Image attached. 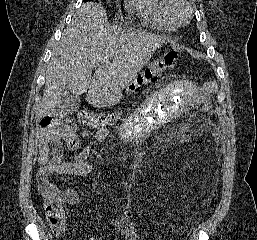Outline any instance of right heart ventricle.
Returning <instances> with one entry per match:
<instances>
[{
    "mask_svg": "<svg viewBox=\"0 0 257 240\" xmlns=\"http://www.w3.org/2000/svg\"><path fill=\"white\" fill-rule=\"evenodd\" d=\"M129 6L159 30L170 32L177 28L176 20L171 14L170 0H131Z\"/></svg>",
    "mask_w": 257,
    "mask_h": 240,
    "instance_id": "e07e8e85",
    "label": "right heart ventricle"
}]
</instances>
